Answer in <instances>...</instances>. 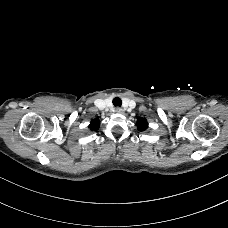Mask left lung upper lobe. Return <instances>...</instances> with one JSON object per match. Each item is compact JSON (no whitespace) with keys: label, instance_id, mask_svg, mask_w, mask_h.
Here are the masks:
<instances>
[{"label":"left lung upper lobe","instance_id":"left-lung-upper-lobe-1","mask_svg":"<svg viewBox=\"0 0 228 228\" xmlns=\"http://www.w3.org/2000/svg\"><path fill=\"white\" fill-rule=\"evenodd\" d=\"M137 127L139 131H144L148 128L147 120L144 118H139L137 121Z\"/></svg>","mask_w":228,"mask_h":228}]
</instances>
